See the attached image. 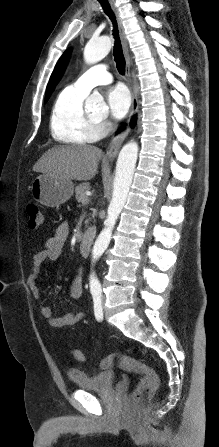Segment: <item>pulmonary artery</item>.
<instances>
[{"instance_id":"e3ab8cb5","label":"pulmonary artery","mask_w":219,"mask_h":447,"mask_svg":"<svg viewBox=\"0 0 219 447\" xmlns=\"http://www.w3.org/2000/svg\"><path fill=\"white\" fill-rule=\"evenodd\" d=\"M112 80V75L104 65H96L81 75L69 87L82 95H87L93 87L109 84Z\"/></svg>"}]
</instances>
